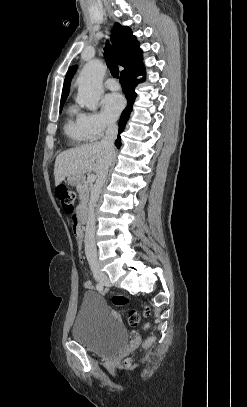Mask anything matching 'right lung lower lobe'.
Wrapping results in <instances>:
<instances>
[{
	"label": "right lung lower lobe",
	"mask_w": 247,
	"mask_h": 407,
	"mask_svg": "<svg viewBox=\"0 0 247 407\" xmlns=\"http://www.w3.org/2000/svg\"><path fill=\"white\" fill-rule=\"evenodd\" d=\"M139 75H145L144 65H143L142 61H140L139 63L135 64L134 66L121 72L120 83L122 85V89L125 94V97L128 100V105L123 110L121 117H120L119 133H118L117 140L115 141V145L117 146V148H120V146H121L120 133H122L125 128L126 122L129 119L130 113L132 111L133 103L136 98L135 86L138 83L144 81V79H141V80L136 79V77Z\"/></svg>",
	"instance_id": "obj_1"
}]
</instances>
